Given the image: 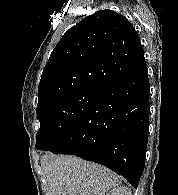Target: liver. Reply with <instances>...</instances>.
<instances>
[{
  "label": "liver",
  "instance_id": "liver-1",
  "mask_svg": "<svg viewBox=\"0 0 178 195\" xmlns=\"http://www.w3.org/2000/svg\"><path fill=\"white\" fill-rule=\"evenodd\" d=\"M46 195H105L121 178L99 164L76 156L45 154L41 158Z\"/></svg>",
  "mask_w": 178,
  "mask_h": 195
}]
</instances>
